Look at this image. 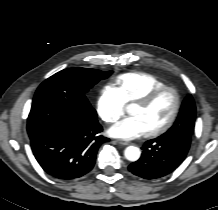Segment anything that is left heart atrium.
<instances>
[{"mask_svg":"<svg viewBox=\"0 0 218 210\" xmlns=\"http://www.w3.org/2000/svg\"><path fill=\"white\" fill-rule=\"evenodd\" d=\"M108 133L112 137L130 140L147 134L148 130L140 117L132 116L113 125Z\"/></svg>","mask_w":218,"mask_h":210,"instance_id":"obj_1","label":"left heart atrium"}]
</instances>
